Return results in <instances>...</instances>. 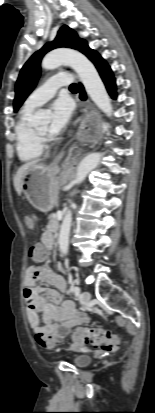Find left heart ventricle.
<instances>
[{"mask_svg":"<svg viewBox=\"0 0 155 413\" xmlns=\"http://www.w3.org/2000/svg\"><path fill=\"white\" fill-rule=\"evenodd\" d=\"M36 129L41 133H46L47 132V125L45 124V125L38 126V127H36Z\"/></svg>","mask_w":155,"mask_h":413,"instance_id":"obj_1","label":"left heart ventricle"}]
</instances>
